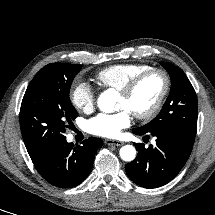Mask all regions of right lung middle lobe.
Listing matches in <instances>:
<instances>
[{
    "label": "right lung middle lobe",
    "mask_w": 215,
    "mask_h": 215,
    "mask_svg": "<svg viewBox=\"0 0 215 215\" xmlns=\"http://www.w3.org/2000/svg\"><path fill=\"white\" fill-rule=\"evenodd\" d=\"M82 65L51 63L30 82L20 108V127L31 159L64 139L78 113L69 91Z\"/></svg>",
    "instance_id": "obj_1"
}]
</instances>
